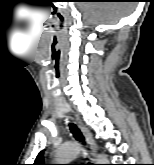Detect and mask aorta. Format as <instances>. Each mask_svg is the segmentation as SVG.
<instances>
[{"label": "aorta", "instance_id": "aorta-1", "mask_svg": "<svg viewBox=\"0 0 154 165\" xmlns=\"http://www.w3.org/2000/svg\"><path fill=\"white\" fill-rule=\"evenodd\" d=\"M80 151V147L75 143L63 145L57 149L55 160L57 164H69V162L77 157ZM97 164H108L107 157L105 155H98Z\"/></svg>", "mask_w": 154, "mask_h": 165}]
</instances>
